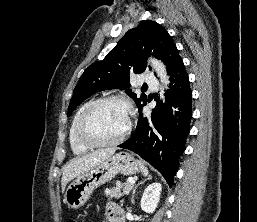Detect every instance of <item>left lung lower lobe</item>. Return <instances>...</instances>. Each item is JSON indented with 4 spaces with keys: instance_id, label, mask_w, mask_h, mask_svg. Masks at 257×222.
<instances>
[{
    "instance_id": "0a47b994",
    "label": "left lung lower lobe",
    "mask_w": 257,
    "mask_h": 222,
    "mask_svg": "<svg viewBox=\"0 0 257 222\" xmlns=\"http://www.w3.org/2000/svg\"><path fill=\"white\" fill-rule=\"evenodd\" d=\"M171 83L165 93L166 101L140 118L133 135L120 148L128 149L156 168L171 186L178 170L179 157L185 150L192 118V92L182 59L168 70Z\"/></svg>"
}]
</instances>
